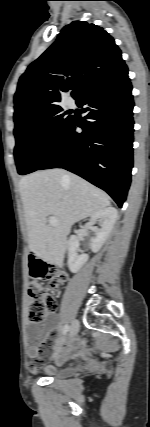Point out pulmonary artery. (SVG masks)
Instances as JSON below:
<instances>
[{
	"mask_svg": "<svg viewBox=\"0 0 150 427\" xmlns=\"http://www.w3.org/2000/svg\"><path fill=\"white\" fill-rule=\"evenodd\" d=\"M74 100L73 99H71V98H69L68 100H67V106L68 107H73L74 106Z\"/></svg>",
	"mask_w": 150,
	"mask_h": 427,
	"instance_id": "pulmonary-artery-1",
	"label": "pulmonary artery"
}]
</instances>
